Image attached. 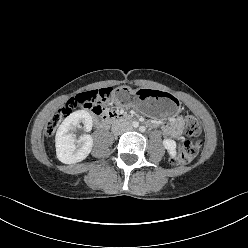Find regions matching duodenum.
Segmentation results:
<instances>
[{"mask_svg": "<svg viewBox=\"0 0 248 248\" xmlns=\"http://www.w3.org/2000/svg\"><path fill=\"white\" fill-rule=\"evenodd\" d=\"M97 118V122L101 127H106L111 123L114 122H118V121H127L128 117L123 115V114H119L117 112H113V111H108L105 112L103 115H98L96 113Z\"/></svg>", "mask_w": 248, "mask_h": 248, "instance_id": "1", "label": "duodenum"}]
</instances>
